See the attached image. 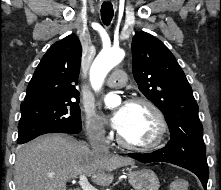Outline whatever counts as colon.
Instances as JSON below:
<instances>
[{"instance_id": "obj_1", "label": "colon", "mask_w": 221, "mask_h": 190, "mask_svg": "<svg viewBox=\"0 0 221 190\" xmlns=\"http://www.w3.org/2000/svg\"><path fill=\"white\" fill-rule=\"evenodd\" d=\"M188 186L189 184L186 179L179 178L171 183L170 190H187Z\"/></svg>"}]
</instances>
